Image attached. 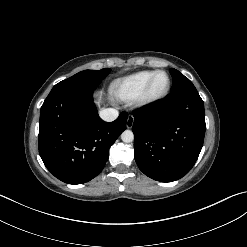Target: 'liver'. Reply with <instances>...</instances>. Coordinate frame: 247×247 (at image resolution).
<instances>
[{"mask_svg": "<svg viewBox=\"0 0 247 247\" xmlns=\"http://www.w3.org/2000/svg\"><path fill=\"white\" fill-rule=\"evenodd\" d=\"M101 102H102V98L99 97V99L97 100V104L100 105Z\"/></svg>", "mask_w": 247, "mask_h": 247, "instance_id": "obj_1", "label": "liver"}]
</instances>
